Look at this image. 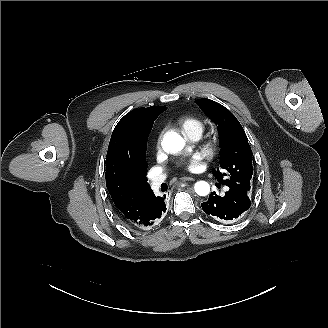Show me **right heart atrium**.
Returning <instances> with one entry per match:
<instances>
[{
	"instance_id": "1",
	"label": "right heart atrium",
	"mask_w": 328,
	"mask_h": 328,
	"mask_svg": "<svg viewBox=\"0 0 328 328\" xmlns=\"http://www.w3.org/2000/svg\"><path fill=\"white\" fill-rule=\"evenodd\" d=\"M163 134H164V130L162 129L156 134V136L154 138V141L152 144V149L155 154H157L161 149V142H162Z\"/></svg>"
}]
</instances>
